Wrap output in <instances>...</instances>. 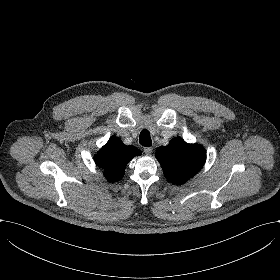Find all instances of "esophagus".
<instances>
[{
    "mask_svg": "<svg viewBox=\"0 0 280 280\" xmlns=\"http://www.w3.org/2000/svg\"><path fill=\"white\" fill-rule=\"evenodd\" d=\"M152 150H153L152 147H145V148H144V153H145L146 155H151V154H152Z\"/></svg>",
    "mask_w": 280,
    "mask_h": 280,
    "instance_id": "34e87169",
    "label": "esophagus"
}]
</instances>
